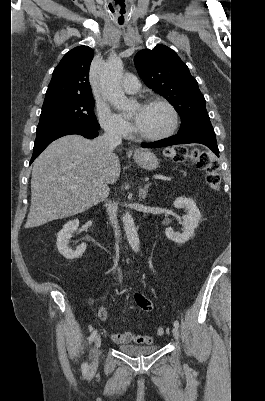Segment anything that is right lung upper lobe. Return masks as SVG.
Instances as JSON below:
<instances>
[{"label":"right lung upper lobe","mask_w":265,"mask_h":401,"mask_svg":"<svg viewBox=\"0 0 265 401\" xmlns=\"http://www.w3.org/2000/svg\"><path fill=\"white\" fill-rule=\"evenodd\" d=\"M94 51L79 46L67 52L53 71L43 105L59 100L92 96L89 68Z\"/></svg>","instance_id":"obj_1"}]
</instances>
